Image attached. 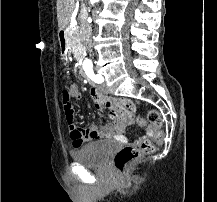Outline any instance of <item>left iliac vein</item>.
I'll return each instance as SVG.
<instances>
[{"instance_id":"obj_1","label":"left iliac vein","mask_w":217,"mask_h":202,"mask_svg":"<svg viewBox=\"0 0 217 202\" xmlns=\"http://www.w3.org/2000/svg\"><path fill=\"white\" fill-rule=\"evenodd\" d=\"M99 90L102 93H104V94H108L109 93V91L107 89V85L105 83H102V84L99 85Z\"/></svg>"}]
</instances>
